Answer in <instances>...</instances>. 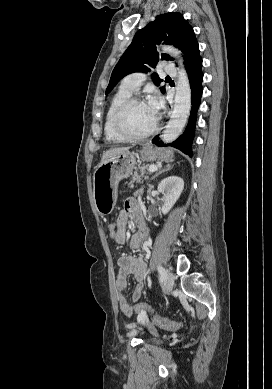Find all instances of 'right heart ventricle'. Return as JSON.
I'll list each match as a JSON object with an SVG mask.
<instances>
[{
	"label": "right heart ventricle",
	"mask_w": 272,
	"mask_h": 389,
	"mask_svg": "<svg viewBox=\"0 0 272 389\" xmlns=\"http://www.w3.org/2000/svg\"><path fill=\"white\" fill-rule=\"evenodd\" d=\"M132 93L133 92L121 86L109 103L104 120V135L108 142L117 143L125 141L124 138L116 133L113 125V119L119 106L129 97H131Z\"/></svg>",
	"instance_id": "right-heart-ventricle-1"
}]
</instances>
